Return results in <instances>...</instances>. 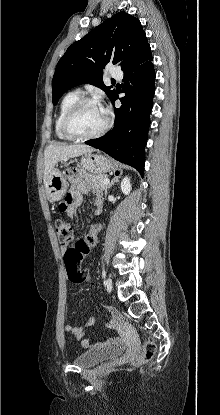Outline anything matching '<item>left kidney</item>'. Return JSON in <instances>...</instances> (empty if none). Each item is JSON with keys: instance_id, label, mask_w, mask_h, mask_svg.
<instances>
[{"instance_id": "obj_1", "label": "left kidney", "mask_w": 220, "mask_h": 415, "mask_svg": "<svg viewBox=\"0 0 220 415\" xmlns=\"http://www.w3.org/2000/svg\"><path fill=\"white\" fill-rule=\"evenodd\" d=\"M121 190L125 195H128L132 189L131 187V183H130V178H128L127 176L122 180L121 182Z\"/></svg>"}]
</instances>
